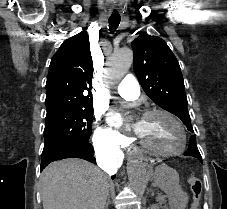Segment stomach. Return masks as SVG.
Instances as JSON below:
<instances>
[{
    "label": "stomach",
    "instance_id": "stomach-1",
    "mask_svg": "<svg viewBox=\"0 0 227 209\" xmlns=\"http://www.w3.org/2000/svg\"><path fill=\"white\" fill-rule=\"evenodd\" d=\"M153 178L155 185L167 194L171 209L186 208L188 197L179 184V175L175 169L165 164L159 165L155 168Z\"/></svg>",
    "mask_w": 227,
    "mask_h": 209
}]
</instances>
